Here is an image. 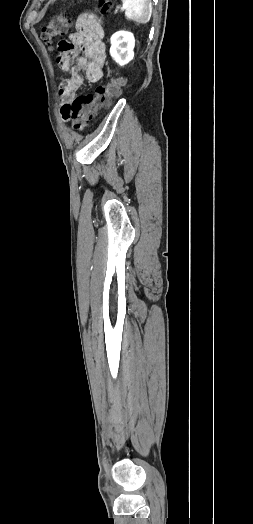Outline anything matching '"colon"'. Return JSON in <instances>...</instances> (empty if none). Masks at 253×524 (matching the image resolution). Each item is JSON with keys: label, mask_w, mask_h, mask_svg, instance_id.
I'll return each mask as SVG.
<instances>
[{"label": "colon", "mask_w": 253, "mask_h": 524, "mask_svg": "<svg viewBox=\"0 0 253 524\" xmlns=\"http://www.w3.org/2000/svg\"><path fill=\"white\" fill-rule=\"evenodd\" d=\"M111 2L112 0H97L100 13H106ZM69 28V18L65 15H58L42 26L41 39L45 44L51 45L57 37L65 35ZM63 42L60 41L59 43ZM124 86L125 80L123 78L114 77L106 86L98 87L94 94L75 98L71 104L62 107L61 114L63 119L71 122L74 130H83L95 112L103 104H108L112 98L118 96Z\"/></svg>", "instance_id": "colon-1"}]
</instances>
